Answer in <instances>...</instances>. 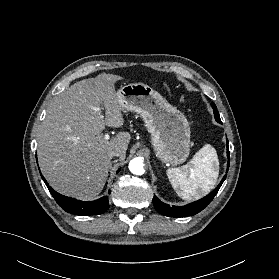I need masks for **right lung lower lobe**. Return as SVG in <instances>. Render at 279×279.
I'll return each mask as SVG.
<instances>
[{
    "mask_svg": "<svg viewBox=\"0 0 279 279\" xmlns=\"http://www.w3.org/2000/svg\"><path fill=\"white\" fill-rule=\"evenodd\" d=\"M42 179L47 185L50 193L52 194V196L54 197L58 205L61 206V208L68 213H72L75 215H82V216L97 215V214L99 215L106 212L109 208L108 196H104L98 200L88 201V202L75 200L73 198L66 197L64 195L57 193L48 185V183L46 182L43 176Z\"/></svg>",
    "mask_w": 279,
    "mask_h": 279,
    "instance_id": "98d812e1",
    "label": "right lung lower lobe"
}]
</instances>
